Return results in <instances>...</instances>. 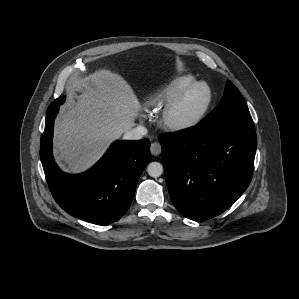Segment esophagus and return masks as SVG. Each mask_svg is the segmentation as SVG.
<instances>
[{"label": "esophagus", "mask_w": 299, "mask_h": 299, "mask_svg": "<svg viewBox=\"0 0 299 299\" xmlns=\"http://www.w3.org/2000/svg\"><path fill=\"white\" fill-rule=\"evenodd\" d=\"M150 150L152 155L157 156L161 153L162 148L158 142H154L151 144Z\"/></svg>", "instance_id": "obj_1"}]
</instances>
